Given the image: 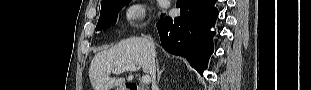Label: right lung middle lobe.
Masks as SVG:
<instances>
[{
	"label": "right lung middle lobe",
	"mask_w": 311,
	"mask_h": 90,
	"mask_svg": "<svg viewBox=\"0 0 311 90\" xmlns=\"http://www.w3.org/2000/svg\"><path fill=\"white\" fill-rule=\"evenodd\" d=\"M130 0H109L101 4L100 18L96 31H106L111 25L116 23L117 15L122 7Z\"/></svg>",
	"instance_id": "1"
}]
</instances>
